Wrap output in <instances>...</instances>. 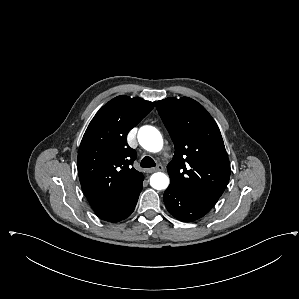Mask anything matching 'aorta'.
I'll return each mask as SVG.
<instances>
[{
    "label": "aorta",
    "instance_id": "obj_1",
    "mask_svg": "<svg viewBox=\"0 0 299 299\" xmlns=\"http://www.w3.org/2000/svg\"><path fill=\"white\" fill-rule=\"evenodd\" d=\"M139 144L149 152H159L163 147L161 133L153 126H143L138 131ZM150 185L156 190H164L169 186V177L161 172L152 174Z\"/></svg>",
    "mask_w": 299,
    "mask_h": 299
}]
</instances>
